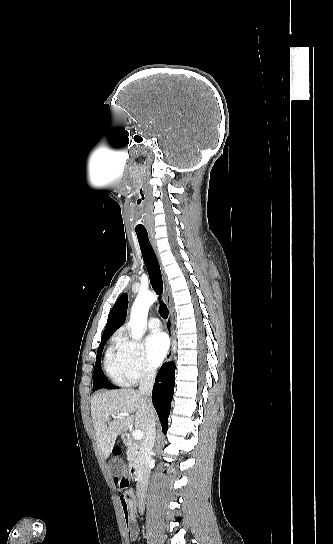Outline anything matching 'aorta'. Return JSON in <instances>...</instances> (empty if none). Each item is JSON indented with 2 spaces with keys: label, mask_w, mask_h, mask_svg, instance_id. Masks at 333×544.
Instances as JSON below:
<instances>
[{
  "label": "aorta",
  "mask_w": 333,
  "mask_h": 544,
  "mask_svg": "<svg viewBox=\"0 0 333 544\" xmlns=\"http://www.w3.org/2000/svg\"><path fill=\"white\" fill-rule=\"evenodd\" d=\"M157 295L152 292L139 293L131 309L129 327L131 337L138 340L142 337L147 326V316L150 306L156 301Z\"/></svg>",
  "instance_id": "obj_1"
}]
</instances>
